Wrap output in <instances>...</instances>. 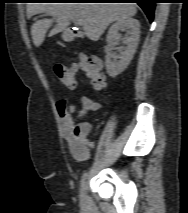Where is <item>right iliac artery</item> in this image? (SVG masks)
Instances as JSON below:
<instances>
[{
    "mask_svg": "<svg viewBox=\"0 0 188 213\" xmlns=\"http://www.w3.org/2000/svg\"><path fill=\"white\" fill-rule=\"evenodd\" d=\"M87 175H88V173H84L83 175H82V178H81V184H83L84 183V181L86 180V178H87Z\"/></svg>",
    "mask_w": 188,
    "mask_h": 213,
    "instance_id": "82829eb1",
    "label": "right iliac artery"
}]
</instances>
